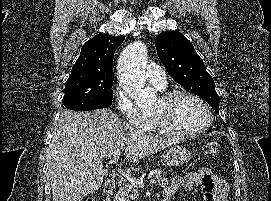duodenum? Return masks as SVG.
Returning a JSON list of instances; mask_svg holds the SVG:
<instances>
[{
    "label": "duodenum",
    "mask_w": 271,
    "mask_h": 201,
    "mask_svg": "<svg viewBox=\"0 0 271 201\" xmlns=\"http://www.w3.org/2000/svg\"><path fill=\"white\" fill-rule=\"evenodd\" d=\"M118 186V182L115 179L108 180L102 188V201H110L112 192ZM170 196L164 195L162 201H169Z\"/></svg>",
    "instance_id": "410a0bca"
}]
</instances>
